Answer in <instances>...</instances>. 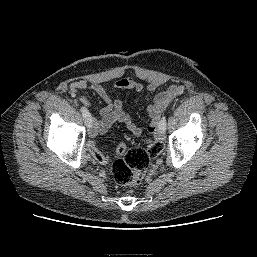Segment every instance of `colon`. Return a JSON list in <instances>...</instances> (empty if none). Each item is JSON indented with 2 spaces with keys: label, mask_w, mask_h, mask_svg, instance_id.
<instances>
[{
  "label": "colon",
  "mask_w": 257,
  "mask_h": 257,
  "mask_svg": "<svg viewBox=\"0 0 257 257\" xmlns=\"http://www.w3.org/2000/svg\"><path fill=\"white\" fill-rule=\"evenodd\" d=\"M150 132L155 130V125L148 127ZM90 152L93 157L102 162L103 155L92 146ZM161 152V146L157 141H149L146 148H127L125 143H119L116 147L118 158L112 164V176L114 182L120 187L135 186L145 177L146 171L152 159Z\"/></svg>",
  "instance_id": "5ec220e1"
}]
</instances>
